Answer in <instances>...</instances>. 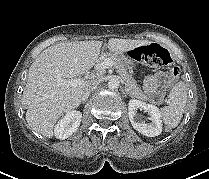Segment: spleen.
<instances>
[{"label":"spleen","mask_w":209,"mask_h":179,"mask_svg":"<svg viewBox=\"0 0 209 179\" xmlns=\"http://www.w3.org/2000/svg\"><path fill=\"white\" fill-rule=\"evenodd\" d=\"M170 103L161 109V116L169 128L180 123L185 110L188 93L184 82H178L169 93Z\"/></svg>","instance_id":"obj_1"}]
</instances>
